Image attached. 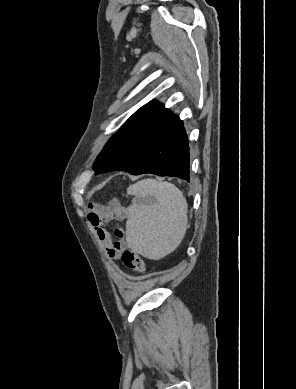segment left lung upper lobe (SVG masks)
I'll return each instance as SVG.
<instances>
[{"label":"left lung upper lobe","mask_w":296,"mask_h":389,"mask_svg":"<svg viewBox=\"0 0 296 389\" xmlns=\"http://www.w3.org/2000/svg\"><path fill=\"white\" fill-rule=\"evenodd\" d=\"M98 165H99V161H98V160H96V163L94 164V167H93L95 171H96V169H97Z\"/></svg>","instance_id":"5c2ea615"}]
</instances>
